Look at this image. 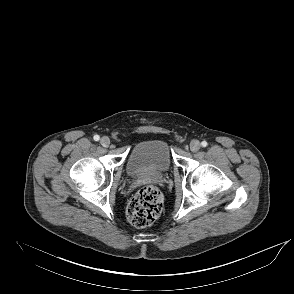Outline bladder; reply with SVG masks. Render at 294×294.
I'll list each match as a JSON object with an SVG mask.
<instances>
[{
	"mask_svg": "<svg viewBox=\"0 0 294 294\" xmlns=\"http://www.w3.org/2000/svg\"><path fill=\"white\" fill-rule=\"evenodd\" d=\"M173 163L169 144L162 139L144 140L133 146L127 160V171L134 177L167 172Z\"/></svg>",
	"mask_w": 294,
	"mask_h": 294,
	"instance_id": "bladder-1",
	"label": "bladder"
}]
</instances>
